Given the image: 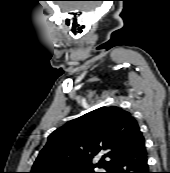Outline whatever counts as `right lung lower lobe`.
Segmentation results:
<instances>
[{"label":"right lung lower lobe","instance_id":"obj_1","mask_svg":"<svg viewBox=\"0 0 170 173\" xmlns=\"http://www.w3.org/2000/svg\"><path fill=\"white\" fill-rule=\"evenodd\" d=\"M106 173H150L145 144L111 163Z\"/></svg>","mask_w":170,"mask_h":173}]
</instances>
